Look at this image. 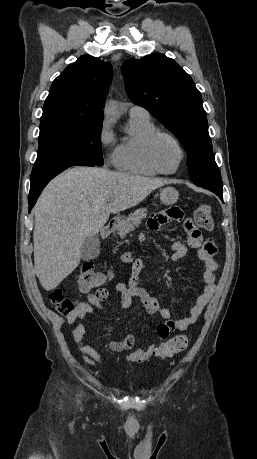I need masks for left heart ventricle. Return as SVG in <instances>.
<instances>
[{"label":"left heart ventricle","mask_w":257,"mask_h":459,"mask_svg":"<svg viewBox=\"0 0 257 459\" xmlns=\"http://www.w3.org/2000/svg\"><path fill=\"white\" fill-rule=\"evenodd\" d=\"M154 155L158 164L166 171L174 170L180 160V151L168 138L158 139L154 147Z\"/></svg>","instance_id":"left-heart-ventricle-1"}]
</instances>
